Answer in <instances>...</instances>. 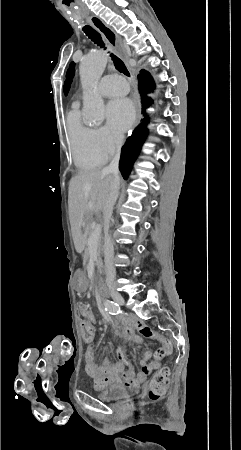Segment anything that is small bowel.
Masks as SVG:
<instances>
[{
	"label": "small bowel",
	"instance_id": "small-bowel-1",
	"mask_svg": "<svg viewBox=\"0 0 241 450\" xmlns=\"http://www.w3.org/2000/svg\"><path fill=\"white\" fill-rule=\"evenodd\" d=\"M79 287L82 289L84 286L81 284ZM80 311L84 318L80 323V327L82 324H93V312L86 306H82ZM149 333H152L151 337L158 339L162 345L163 343L168 345V340L166 338L154 333L152 329L142 321H135L131 325L122 327L119 335L124 341L139 342L140 335L148 337L147 334ZM85 353L87 355L84 354L86 372L94 379L97 388H103L112 384L124 385L125 387L132 389L139 388L148 378L150 371L159 364V361L156 360L149 362L152 358V351L149 350L140 361L139 373L135 374L134 368L126 359L125 349L123 347L118 349V361H111L108 358H104L101 363H96L94 356L96 350L94 347H87Z\"/></svg>",
	"mask_w": 241,
	"mask_h": 450
}]
</instances>
